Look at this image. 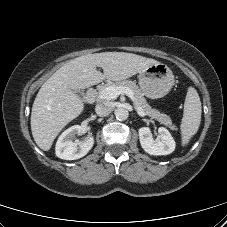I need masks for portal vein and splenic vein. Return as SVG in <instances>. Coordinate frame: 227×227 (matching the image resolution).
Masks as SVG:
<instances>
[{"mask_svg": "<svg viewBox=\"0 0 227 227\" xmlns=\"http://www.w3.org/2000/svg\"><path fill=\"white\" fill-rule=\"evenodd\" d=\"M120 94H125L130 97L134 102L137 113L142 117L145 116V112L135 101L134 93L128 87H106L99 92V98L103 100H112L116 99Z\"/></svg>", "mask_w": 227, "mask_h": 227, "instance_id": "portal-vein-and-splenic-vein-1", "label": "portal vein and splenic vein"}]
</instances>
